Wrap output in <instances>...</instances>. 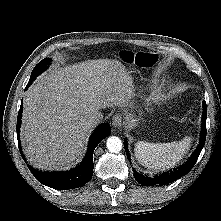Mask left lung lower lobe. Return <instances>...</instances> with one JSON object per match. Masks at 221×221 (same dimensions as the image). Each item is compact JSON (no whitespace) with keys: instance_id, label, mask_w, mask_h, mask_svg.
Returning a JSON list of instances; mask_svg holds the SVG:
<instances>
[{"instance_id":"left-lung-lower-lobe-1","label":"left lung lower lobe","mask_w":221,"mask_h":221,"mask_svg":"<svg viewBox=\"0 0 221 221\" xmlns=\"http://www.w3.org/2000/svg\"><path fill=\"white\" fill-rule=\"evenodd\" d=\"M206 118H207V107L206 103L203 104V116H202V133H201V139L200 143L195 150V152L192 154L191 158L182 166H180L177 169L171 170L170 172H165L160 175H156L154 177H148L146 175H143L141 173H138L137 171H134V177L135 179L144 186H153V185H164L169 184L182 176L186 175L190 172L194 164L196 163L200 152L204 146L205 139H206ZM124 148L127 154L128 159L130 160V155L127 150L126 142L124 143Z\"/></svg>"}]
</instances>
